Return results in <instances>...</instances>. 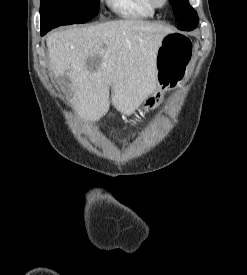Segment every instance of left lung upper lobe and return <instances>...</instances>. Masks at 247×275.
<instances>
[{"label": "left lung upper lobe", "mask_w": 247, "mask_h": 275, "mask_svg": "<svg viewBox=\"0 0 247 275\" xmlns=\"http://www.w3.org/2000/svg\"><path fill=\"white\" fill-rule=\"evenodd\" d=\"M176 20L177 28L183 31L193 30L199 22L196 11L190 6L188 0H170Z\"/></svg>", "instance_id": "5c2ea615"}]
</instances>
